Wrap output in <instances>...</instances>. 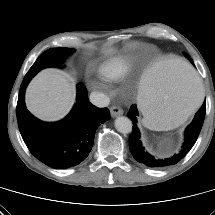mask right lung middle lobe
I'll return each mask as SVG.
<instances>
[{"label":"right lung middle lobe","instance_id":"right-lung-middle-lobe-1","mask_svg":"<svg viewBox=\"0 0 215 215\" xmlns=\"http://www.w3.org/2000/svg\"><path fill=\"white\" fill-rule=\"evenodd\" d=\"M73 52V49L56 48L48 49L42 53L32 65L26 76L32 78L38 71L48 66H58L65 56Z\"/></svg>","mask_w":215,"mask_h":215}]
</instances>
